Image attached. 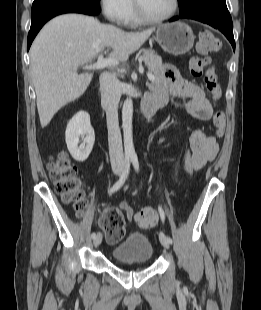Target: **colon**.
I'll use <instances>...</instances> for the list:
<instances>
[{"mask_svg": "<svg viewBox=\"0 0 261 310\" xmlns=\"http://www.w3.org/2000/svg\"><path fill=\"white\" fill-rule=\"evenodd\" d=\"M220 49V40L211 31L203 29L199 32L197 42V51L203 57L194 58L190 63L191 75L193 77L203 76L204 86L213 102L221 98L222 91L208 55ZM225 124V114L221 111L216 112L213 116L215 138H221L224 135ZM183 162L186 172L191 173L193 170L192 152L188 148L184 151ZM48 170L56 193L65 203L71 204L79 214H82L86 206V195L76 166L65 153H61L51 159ZM117 209L116 204H113L111 208H104L100 219V225L110 244L118 243L125 234V219ZM134 219L141 228H149L157 223L158 216L153 208L148 207L137 212Z\"/></svg>", "mask_w": 261, "mask_h": 310, "instance_id": "obj_1", "label": "colon"}]
</instances>
